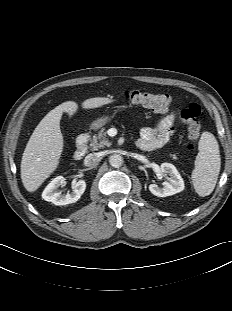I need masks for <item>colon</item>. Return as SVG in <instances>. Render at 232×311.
I'll list each match as a JSON object with an SVG mask.
<instances>
[{"instance_id": "5ec220e1", "label": "colon", "mask_w": 232, "mask_h": 311, "mask_svg": "<svg viewBox=\"0 0 232 311\" xmlns=\"http://www.w3.org/2000/svg\"><path fill=\"white\" fill-rule=\"evenodd\" d=\"M125 99L131 104L150 109L154 112H167L172 106V99L169 95L163 93H150L142 91H127L124 94ZM200 107L192 103L181 111V118L188 131L190 143L188 148L194 149V142L200 135Z\"/></svg>"}]
</instances>
